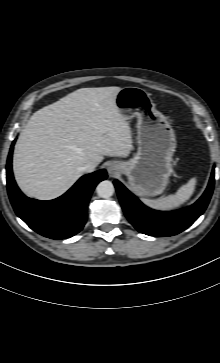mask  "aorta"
I'll return each mask as SVG.
<instances>
[{
	"instance_id": "762f6f07",
	"label": "aorta",
	"mask_w": 220,
	"mask_h": 363,
	"mask_svg": "<svg viewBox=\"0 0 220 363\" xmlns=\"http://www.w3.org/2000/svg\"><path fill=\"white\" fill-rule=\"evenodd\" d=\"M114 191L113 183L108 180L101 181L96 187L98 196L105 199L110 198L114 194Z\"/></svg>"
}]
</instances>
